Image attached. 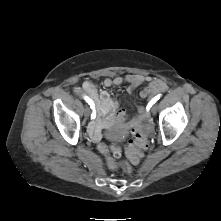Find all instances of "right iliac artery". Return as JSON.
Returning <instances> with one entry per match:
<instances>
[{
  "label": "right iliac artery",
  "instance_id": "82829eb1",
  "mask_svg": "<svg viewBox=\"0 0 221 221\" xmlns=\"http://www.w3.org/2000/svg\"><path fill=\"white\" fill-rule=\"evenodd\" d=\"M84 99L86 100V102L90 105L91 109H93V112L91 114V119H95L96 117V113H95V110H94V104L93 102L88 98V97H84Z\"/></svg>",
  "mask_w": 221,
  "mask_h": 221
}]
</instances>
